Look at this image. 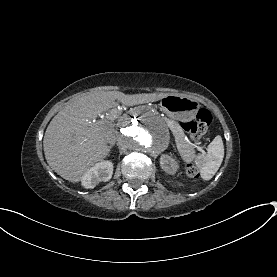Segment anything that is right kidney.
Segmentation results:
<instances>
[{
    "label": "right kidney",
    "instance_id": "ca27d5eb",
    "mask_svg": "<svg viewBox=\"0 0 277 277\" xmlns=\"http://www.w3.org/2000/svg\"><path fill=\"white\" fill-rule=\"evenodd\" d=\"M113 174V164L110 162L97 164L91 168L83 177V186L94 188L100 182H107Z\"/></svg>",
    "mask_w": 277,
    "mask_h": 277
}]
</instances>
